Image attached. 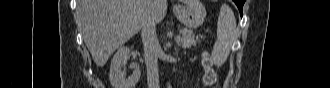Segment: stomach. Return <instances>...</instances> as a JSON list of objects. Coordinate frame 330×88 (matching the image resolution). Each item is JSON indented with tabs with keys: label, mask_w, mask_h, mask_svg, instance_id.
Listing matches in <instances>:
<instances>
[{
	"label": "stomach",
	"mask_w": 330,
	"mask_h": 88,
	"mask_svg": "<svg viewBox=\"0 0 330 88\" xmlns=\"http://www.w3.org/2000/svg\"><path fill=\"white\" fill-rule=\"evenodd\" d=\"M173 10L177 19L189 29L200 27L206 17V9L199 0H190L186 5L175 6Z\"/></svg>",
	"instance_id": "1"
}]
</instances>
